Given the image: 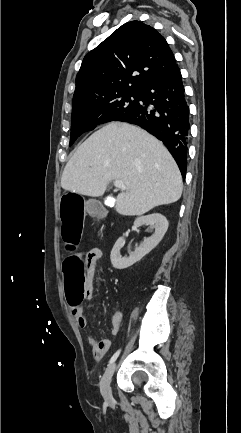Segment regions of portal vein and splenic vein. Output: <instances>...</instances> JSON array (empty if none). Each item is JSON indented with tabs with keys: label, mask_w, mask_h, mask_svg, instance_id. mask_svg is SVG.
<instances>
[{
	"label": "portal vein and splenic vein",
	"mask_w": 241,
	"mask_h": 433,
	"mask_svg": "<svg viewBox=\"0 0 241 433\" xmlns=\"http://www.w3.org/2000/svg\"><path fill=\"white\" fill-rule=\"evenodd\" d=\"M114 186L116 188H120V189H123V190H128V188L126 187V185L124 184V182L122 180H115L114 181Z\"/></svg>",
	"instance_id": "18ae733b"
}]
</instances>
